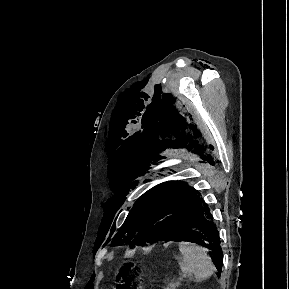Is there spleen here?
<instances>
[{
  "label": "spleen",
  "mask_w": 289,
  "mask_h": 289,
  "mask_svg": "<svg viewBox=\"0 0 289 289\" xmlns=\"http://www.w3.org/2000/svg\"><path fill=\"white\" fill-rule=\"evenodd\" d=\"M179 251L182 255L179 266L184 275H193L196 282H201L214 273L215 266L205 248L188 242H180Z\"/></svg>",
  "instance_id": "3e777b00"
}]
</instances>
